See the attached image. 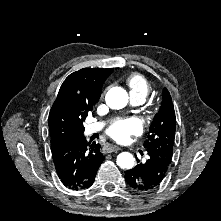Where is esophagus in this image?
Returning <instances> with one entry per match:
<instances>
[{
  "instance_id": "esophagus-1",
  "label": "esophagus",
  "mask_w": 221,
  "mask_h": 221,
  "mask_svg": "<svg viewBox=\"0 0 221 221\" xmlns=\"http://www.w3.org/2000/svg\"><path fill=\"white\" fill-rule=\"evenodd\" d=\"M105 150H106L108 153H111V152H116V151L120 150V147H119V146H116V145H110V144H108L107 146H105Z\"/></svg>"
}]
</instances>
